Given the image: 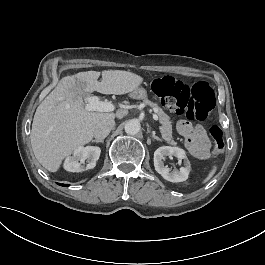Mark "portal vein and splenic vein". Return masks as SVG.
I'll use <instances>...</instances> for the list:
<instances>
[{"label": "portal vein and splenic vein", "instance_id": "1", "mask_svg": "<svg viewBox=\"0 0 265 265\" xmlns=\"http://www.w3.org/2000/svg\"><path fill=\"white\" fill-rule=\"evenodd\" d=\"M84 100L86 102V111L112 112L115 108L112 103L100 101L97 96L86 97ZM140 108H143V106L140 105ZM153 119L158 120V116L156 114H153Z\"/></svg>", "mask_w": 265, "mask_h": 265}]
</instances>
